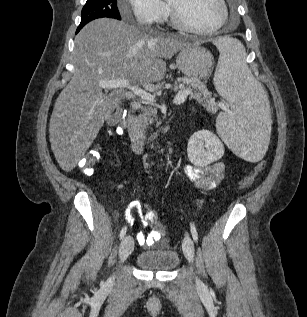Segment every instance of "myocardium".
<instances>
[{"mask_svg": "<svg viewBox=\"0 0 307 317\" xmlns=\"http://www.w3.org/2000/svg\"><path fill=\"white\" fill-rule=\"evenodd\" d=\"M218 2L220 4L221 12H222L221 18L218 21V23L210 29L201 30V29H197V28L189 25L182 18V16L178 12V10L168 1L167 4H168L170 17H171V22H172L173 26L180 31H184V32L191 33L194 35H199V36L212 35L224 26V24L226 23V21L228 19V14H229L226 1L225 0H218Z\"/></svg>", "mask_w": 307, "mask_h": 317, "instance_id": "f54148a6", "label": "myocardium"}]
</instances>
